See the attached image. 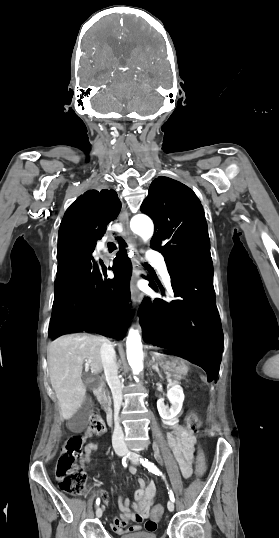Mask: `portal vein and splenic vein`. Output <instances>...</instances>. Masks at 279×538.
Masks as SVG:
<instances>
[{
  "label": "portal vein and splenic vein",
  "mask_w": 279,
  "mask_h": 538,
  "mask_svg": "<svg viewBox=\"0 0 279 538\" xmlns=\"http://www.w3.org/2000/svg\"><path fill=\"white\" fill-rule=\"evenodd\" d=\"M90 364V360H86V366ZM166 383H172L171 377H165Z\"/></svg>",
  "instance_id": "1"
}]
</instances>
